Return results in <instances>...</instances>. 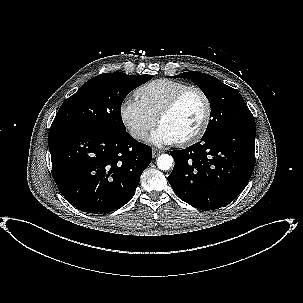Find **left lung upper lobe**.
I'll list each match as a JSON object with an SVG mask.
<instances>
[{
	"label": "left lung upper lobe",
	"instance_id": "1",
	"mask_svg": "<svg viewBox=\"0 0 303 303\" xmlns=\"http://www.w3.org/2000/svg\"><path fill=\"white\" fill-rule=\"evenodd\" d=\"M174 78L191 79L203 91L211 105V120L203 136L239 125L255 124L240 93L217 78L197 71L185 72Z\"/></svg>",
	"mask_w": 303,
	"mask_h": 303
}]
</instances>
